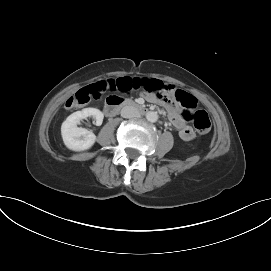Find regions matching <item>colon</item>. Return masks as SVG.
<instances>
[{
    "instance_id": "obj_1",
    "label": "colon",
    "mask_w": 271,
    "mask_h": 271,
    "mask_svg": "<svg viewBox=\"0 0 271 271\" xmlns=\"http://www.w3.org/2000/svg\"><path fill=\"white\" fill-rule=\"evenodd\" d=\"M119 92H130L139 89V79L119 78L108 83L105 88L97 85H90L78 90L73 96L66 101L67 109H75L86 105L92 98H96L106 89ZM174 100L183 108L182 117L185 120H191L195 129L200 134H207L211 129L209 115L204 110H196L197 100L194 96L178 90L174 94Z\"/></svg>"
}]
</instances>
